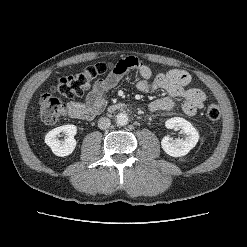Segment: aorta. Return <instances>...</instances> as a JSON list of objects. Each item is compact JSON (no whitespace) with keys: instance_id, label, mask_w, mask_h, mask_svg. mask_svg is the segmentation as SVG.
Returning a JSON list of instances; mask_svg holds the SVG:
<instances>
[{"instance_id":"1","label":"aorta","mask_w":247,"mask_h":247,"mask_svg":"<svg viewBox=\"0 0 247 247\" xmlns=\"http://www.w3.org/2000/svg\"><path fill=\"white\" fill-rule=\"evenodd\" d=\"M116 124L119 126H125L128 124V116L126 113L121 112L116 115Z\"/></svg>"}]
</instances>
